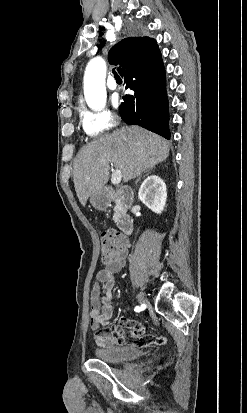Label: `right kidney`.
Returning <instances> with one entry per match:
<instances>
[{
  "instance_id": "obj_1",
  "label": "right kidney",
  "mask_w": 247,
  "mask_h": 413,
  "mask_svg": "<svg viewBox=\"0 0 247 413\" xmlns=\"http://www.w3.org/2000/svg\"><path fill=\"white\" fill-rule=\"evenodd\" d=\"M138 196L153 213H162L166 204V184L157 174H150L143 180Z\"/></svg>"
}]
</instances>
